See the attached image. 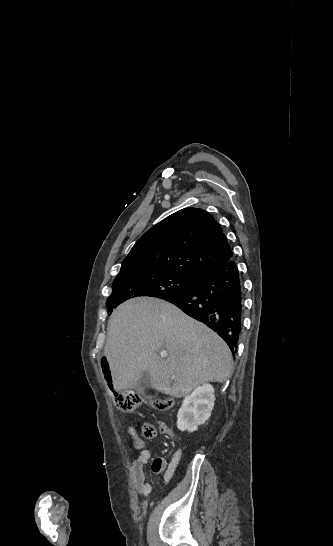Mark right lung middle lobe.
Instances as JSON below:
<instances>
[{"mask_svg": "<svg viewBox=\"0 0 333 546\" xmlns=\"http://www.w3.org/2000/svg\"><path fill=\"white\" fill-rule=\"evenodd\" d=\"M198 277H190L173 272H140L139 270L120 271L112 285L107 307L116 308L124 301L137 296H151L165 299L192 289ZM112 309H108L111 314Z\"/></svg>", "mask_w": 333, "mask_h": 546, "instance_id": "right-lung-middle-lobe-1", "label": "right lung middle lobe"}]
</instances>
